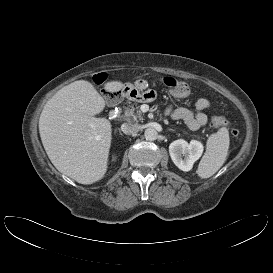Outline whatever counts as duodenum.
<instances>
[{"instance_id": "1", "label": "duodenum", "mask_w": 273, "mask_h": 273, "mask_svg": "<svg viewBox=\"0 0 273 273\" xmlns=\"http://www.w3.org/2000/svg\"><path fill=\"white\" fill-rule=\"evenodd\" d=\"M118 114V112H116L115 110H112V115L116 116Z\"/></svg>"}]
</instances>
